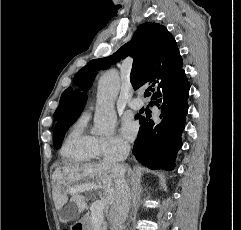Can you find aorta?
<instances>
[{"instance_id":"obj_1","label":"aorta","mask_w":241,"mask_h":230,"mask_svg":"<svg viewBox=\"0 0 241 230\" xmlns=\"http://www.w3.org/2000/svg\"><path fill=\"white\" fill-rule=\"evenodd\" d=\"M119 89L120 78L116 70H110L100 77L97 88V107L92 129L94 135L110 136L113 134L117 120L114 102Z\"/></svg>"}]
</instances>
